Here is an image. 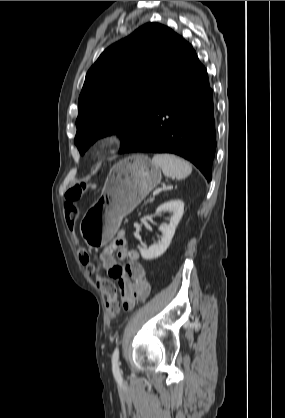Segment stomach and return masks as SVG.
<instances>
[{"label": "stomach", "instance_id": "0dacf381", "mask_svg": "<svg viewBox=\"0 0 285 418\" xmlns=\"http://www.w3.org/2000/svg\"><path fill=\"white\" fill-rule=\"evenodd\" d=\"M161 178L160 168L143 154L131 155L115 164L101 196L80 223L85 242L95 247L106 245L122 219L161 182Z\"/></svg>", "mask_w": 285, "mask_h": 418}]
</instances>
